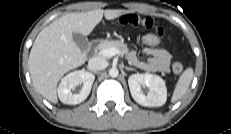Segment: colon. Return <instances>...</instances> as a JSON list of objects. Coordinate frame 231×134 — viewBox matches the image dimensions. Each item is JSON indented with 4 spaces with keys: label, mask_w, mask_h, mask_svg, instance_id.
Segmentation results:
<instances>
[{
    "label": "colon",
    "mask_w": 231,
    "mask_h": 134,
    "mask_svg": "<svg viewBox=\"0 0 231 134\" xmlns=\"http://www.w3.org/2000/svg\"><path fill=\"white\" fill-rule=\"evenodd\" d=\"M139 41L145 47H156L162 44L163 40L160 36L156 34H144L139 37ZM172 70L176 75H180L183 72V66L180 62H174L172 65Z\"/></svg>",
    "instance_id": "5ec220e1"
}]
</instances>
